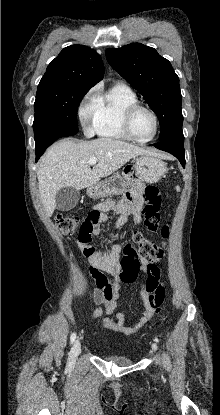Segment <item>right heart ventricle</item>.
<instances>
[{"label": "right heart ventricle", "instance_id": "obj_1", "mask_svg": "<svg viewBox=\"0 0 220 415\" xmlns=\"http://www.w3.org/2000/svg\"><path fill=\"white\" fill-rule=\"evenodd\" d=\"M138 103L136 94L129 88L115 86L95 98L93 121L95 133L104 138L131 140L123 128V114L127 107Z\"/></svg>", "mask_w": 220, "mask_h": 415}]
</instances>
